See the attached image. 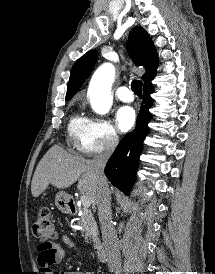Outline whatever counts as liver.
<instances>
[{"instance_id":"obj_1","label":"liver","mask_w":215,"mask_h":274,"mask_svg":"<svg viewBox=\"0 0 215 274\" xmlns=\"http://www.w3.org/2000/svg\"><path fill=\"white\" fill-rule=\"evenodd\" d=\"M77 180L78 190L84 193L92 204H96L98 184L91 161L55 145L47 151L36 167L31 193L33 197H38L49 184L64 189Z\"/></svg>"}]
</instances>
